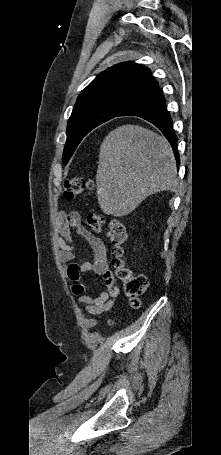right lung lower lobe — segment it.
<instances>
[{
	"label": "right lung lower lobe",
	"mask_w": 221,
	"mask_h": 455,
	"mask_svg": "<svg viewBox=\"0 0 221 455\" xmlns=\"http://www.w3.org/2000/svg\"><path fill=\"white\" fill-rule=\"evenodd\" d=\"M119 116H138L153 123L171 144L177 164H179L176 147L178 138L172 128L171 116L165 108V99L158 85L148 96L125 109Z\"/></svg>",
	"instance_id": "98d812e1"
}]
</instances>
